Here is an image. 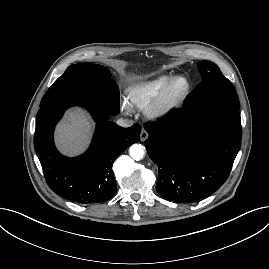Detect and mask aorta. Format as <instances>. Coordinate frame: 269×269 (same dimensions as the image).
Masks as SVG:
<instances>
[{"instance_id":"aorta-1","label":"aorta","mask_w":269,"mask_h":269,"mask_svg":"<svg viewBox=\"0 0 269 269\" xmlns=\"http://www.w3.org/2000/svg\"><path fill=\"white\" fill-rule=\"evenodd\" d=\"M144 153H145L144 147L141 144H133L129 148V155L134 160L138 161V160L142 159L144 156Z\"/></svg>"}]
</instances>
